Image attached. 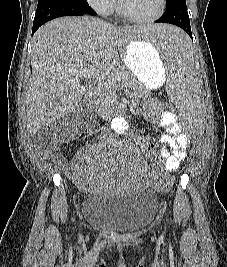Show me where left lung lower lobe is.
<instances>
[{
    "mask_svg": "<svg viewBox=\"0 0 227 267\" xmlns=\"http://www.w3.org/2000/svg\"><path fill=\"white\" fill-rule=\"evenodd\" d=\"M155 23H169L181 27L192 38L186 0L166 1V11Z\"/></svg>",
    "mask_w": 227,
    "mask_h": 267,
    "instance_id": "obj_1",
    "label": "left lung lower lobe"
}]
</instances>
